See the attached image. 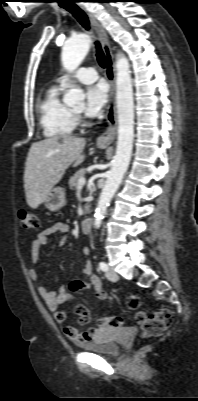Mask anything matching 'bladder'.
Returning a JSON list of instances; mask_svg holds the SVG:
<instances>
[{
  "mask_svg": "<svg viewBox=\"0 0 198 401\" xmlns=\"http://www.w3.org/2000/svg\"><path fill=\"white\" fill-rule=\"evenodd\" d=\"M122 334V330L117 327H105L100 336L90 343L83 345V348L89 352L117 356L121 351V344L118 337Z\"/></svg>",
  "mask_w": 198,
  "mask_h": 401,
  "instance_id": "bladder-1",
  "label": "bladder"
}]
</instances>
